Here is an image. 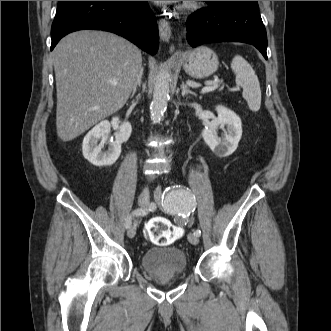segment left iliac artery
Wrapping results in <instances>:
<instances>
[{"instance_id": "left-iliac-artery-1", "label": "left iliac artery", "mask_w": 331, "mask_h": 331, "mask_svg": "<svg viewBox=\"0 0 331 331\" xmlns=\"http://www.w3.org/2000/svg\"><path fill=\"white\" fill-rule=\"evenodd\" d=\"M162 206L166 212L186 220L195 210V197L188 188L180 185L173 186L167 189ZM194 234L199 237L201 231L196 230Z\"/></svg>"}]
</instances>
